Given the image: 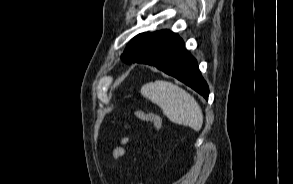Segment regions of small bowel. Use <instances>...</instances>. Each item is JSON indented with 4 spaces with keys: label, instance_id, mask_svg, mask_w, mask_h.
<instances>
[{
    "label": "small bowel",
    "instance_id": "small-bowel-1",
    "mask_svg": "<svg viewBox=\"0 0 293 184\" xmlns=\"http://www.w3.org/2000/svg\"><path fill=\"white\" fill-rule=\"evenodd\" d=\"M127 141H128V140H127L126 138H124V139L122 140V144H123V145L126 144ZM123 154H124V149H123L122 146L117 147V148L115 149V151H114V155H115V157H120V156H122Z\"/></svg>",
    "mask_w": 293,
    "mask_h": 184
}]
</instances>
